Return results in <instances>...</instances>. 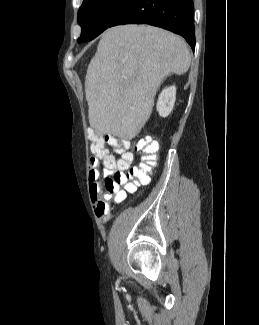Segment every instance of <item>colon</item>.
Masks as SVG:
<instances>
[{"label": "colon", "mask_w": 259, "mask_h": 325, "mask_svg": "<svg viewBox=\"0 0 259 325\" xmlns=\"http://www.w3.org/2000/svg\"><path fill=\"white\" fill-rule=\"evenodd\" d=\"M90 150L98 158L108 154L106 144L111 145L116 152L123 153L122 163L113 170L112 174L105 178V188L109 195L115 196L117 201L124 198V192L120 186L124 185L127 191L133 192L140 185L149 183L150 175L153 172L158 160L159 145L152 137H146L135 144V150L140 153L141 161L138 165L131 167L127 172L132 155L127 151L128 142L111 135H100L94 131L88 132ZM128 164V165H127Z\"/></svg>", "instance_id": "1"}]
</instances>
